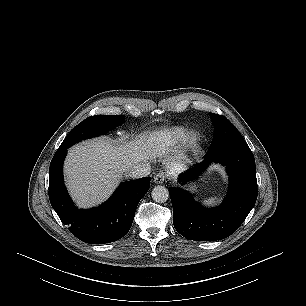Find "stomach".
I'll list each match as a JSON object with an SVG mask.
<instances>
[{"instance_id":"1","label":"stomach","mask_w":306,"mask_h":306,"mask_svg":"<svg viewBox=\"0 0 306 306\" xmlns=\"http://www.w3.org/2000/svg\"><path fill=\"white\" fill-rule=\"evenodd\" d=\"M189 190H191L192 192L196 191V185L194 183L190 184L187 186Z\"/></svg>"}]
</instances>
